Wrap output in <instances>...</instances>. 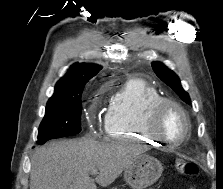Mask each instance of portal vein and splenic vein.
I'll return each instance as SVG.
<instances>
[{
    "label": "portal vein and splenic vein",
    "instance_id": "18ae733b",
    "mask_svg": "<svg viewBox=\"0 0 223 189\" xmlns=\"http://www.w3.org/2000/svg\"><path fill=\"white\" fill-rule=\"evenodd\" d=\"M97 173H98L97 170H93V171L91 172L92 175H96Z\"/></svg>",
    "mask_w": 223,
    "mask_h": 189
}]
</instances>
